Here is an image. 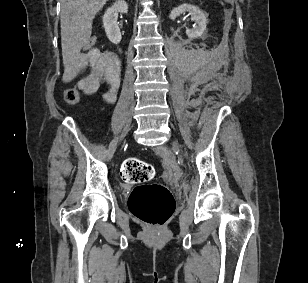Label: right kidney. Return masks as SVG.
<instances>
[{"mask_svg":"<svg viewBox=\"0 0 308 283\" xmlns=\"http://www.w3.org/2000/svg\"><path fill=\"white\" fill-rule=\"evenodd\" d=\"M128 4L124 0L116 1L111 7H109L103 15V27L105 29L108 39L118 44L121 41V32L118 26V13L127 14Z\"/></svg>","mask_w":308,"mask_h":283,"instance_id":"ca27d5eb","label":"right kidney"}]
</instances>
